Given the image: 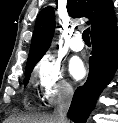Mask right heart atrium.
I'll return each mask as SVG.
<instances>
[{
    "instance_id": "d8ad5b80",
    "label": "right heart atrium",
    "mask_w": 118,
    "mask_h": 123,
    "mask_svg": "<svg viewBox=\"0 0 118 123\" xmlns=\"http://www.w3.org/2000/svg\"><path fill=\"white\" fill-rule=\"evenodd\" d=\"M33 79L40 97L48 105H54L72 93V86L65 78L60 63L51 55H45L37 62Z\"/></svg>"
}]
</instances>
